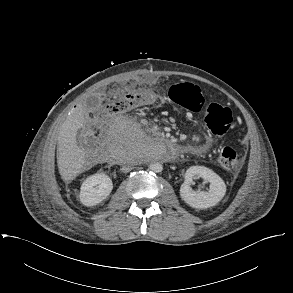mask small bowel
<instances>
[{
	"mask_svg": "<svg viewBox=\"0 0 293 293\" xmlns=\"http://www.w3.org/2000/svg\"><path fill=\"white\" fill-rule=\"evenodd\" d=\"M146 84H150L151 80L146 79L144 80ZM160 103H165V99L160 97L158 100ZM197 144L194 145H188L185 147L186 152L193 153V154H202L209 151V149L212 146L213 140L210 136H205L203 139H200L199 137L196 138Z\"/></svg>",
	"mask_w": 293,
	"mask_h": 293,
	"instance_id": "c3829d8e",
	"label": "small bowel"
}]
</instances>
